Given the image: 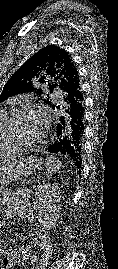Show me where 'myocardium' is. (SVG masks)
<instances>
[{
  "instance_id": "f54148a6",
  "label": "myocardium",
  "mask_w": 118,
  "mask_h": 269,
  "mask_svg": "<svg viewBox=\"0 0 118 269\" xmlns=\"http://www.w3.org/2000/svg\"><path fill=\"white\" fill-rule=\"evenodd\" d=\"M31 111L32 110L29 107H22V108L11 111L7 115V117L5 118V120L3 121L0 127V135H1L0 137L5 147L17 148L21 150V149L34 148L43 142L44 135L37 141L27 142V141H22V140L14 138L11 133L15 122L21 116Z\"/></svg>"
}]
</instances>
